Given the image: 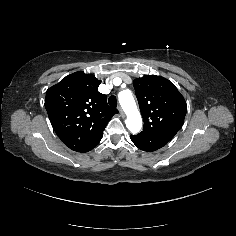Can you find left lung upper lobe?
Segmentation results:
<instances>
[{"mask_svg":"<svg viewBox=\"0 0 236 236\" xmlns=\"http://www.w3.org/2000/svg\"><path fill=\"white\" fill-rule=\"evenodd\" d=\"M144 126L141 134L173 138L181 128L187 104L169 80L146 75L133 82Z\"/></svg>","mask_w":236,"mask_h":236,"instance_id":"1","label":"left lung upper lobe"}]
</instances>
